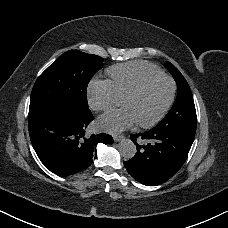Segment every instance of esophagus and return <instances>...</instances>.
<instances>
[{
  "instance_id": "esophagus-1",
  "label": "esophagus",
  "mask_w": 228,
  "mask_h": 228,
  "mask_svg": "<svg viewBox=\"0 0 228 228\" xmlns=\"http://www.w3.org/2000/svg\"><path fill=\"white\" fill-rule=\"evenodd\" d=\"M114 141L115 142H119V141H121L122 139H124V135H116V136H114Z\"/></svg>"
}]
</instances>
